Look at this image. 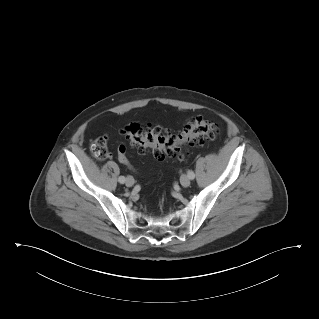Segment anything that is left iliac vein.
I'll return each mask as SVG.
<instances>
[{"instance_id":"4c4485c4","label":"left iliac vein","mask_w":319,"mask_h":319,"mask_svg":"<svg viewBox=\"0 0 319 319\" xmlns=\"http://www.w3.org/2000/svg\"><path fill=\"white\" fill-rule=\"evenodd\" d=\"M180 183L183 187H188L190 185V179L186 174H183L180 178Z\"/></svg>"}]
</instances>
